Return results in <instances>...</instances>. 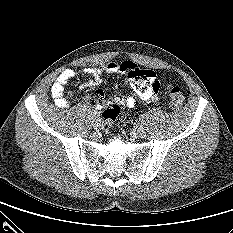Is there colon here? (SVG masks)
<instances>
[{"label":"colon","instance_id":"1","mask_svg":"<svg viewBox=\"0 0 233 233\" xmlns=\"http://www.w3.org/2000/svg\"><path fill=\"white\" fill-rule=\"evenodd\" d=\"M128 76L135 82H148L152 77V73L150 70L144 69L140 66H135L130 69ZM167 90L169 93V103L171 108H181L185 100L182 89L179 86L170 84L167 86ZM122 109V104L119 101H116L103 111L102 116L108 125L116 119Z\"/></svg>","mask_w":233,"mask_h":233}]
</instances>
